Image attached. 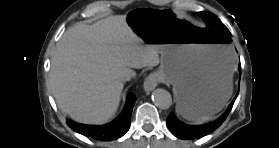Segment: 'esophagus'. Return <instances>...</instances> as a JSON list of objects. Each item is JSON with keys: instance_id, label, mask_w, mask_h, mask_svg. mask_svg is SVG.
Returning <instances> with one entry per match:
<instances>
[{"instance_id": "esophagus-1", "label": "esophagus", "mask_w": 279, "mask_h": 148, "mask_svg": "<svg viewBox=\"0 0 279 148\" xmlns=\"http://www.w3.org/2000/svg\"><path fill=\"white\" fill-rule=\"evenodd\" d=\"M159 81H160V76L157 73L150 74L146 78L144 85H143L145 92L149 93L153 89H155V87L158 85Z\"/></svg>"}]
</instances>
